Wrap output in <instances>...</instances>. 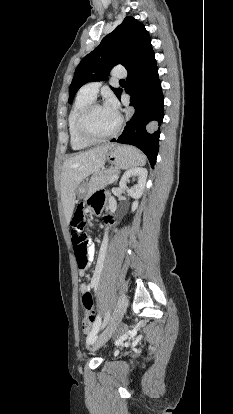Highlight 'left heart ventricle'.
Here are the masks:
<instances>
[{"label": "left heart ventricle", "mask_w": 233, "mask_h": 414, "mask_svg": "<svg viewBox=\"0 0 233 414\" xmlns=\"http://www.w3.org/2000/svg\"><path fill=\"white\" fill-rule=\"evenodd\" d=\"M118 116L111 113L105 106L94 109L89 115L86 126L94 135L103 136L110 133L116 126Z\"/></svg>", "instance_id": "obj_1"}]
</instances>
